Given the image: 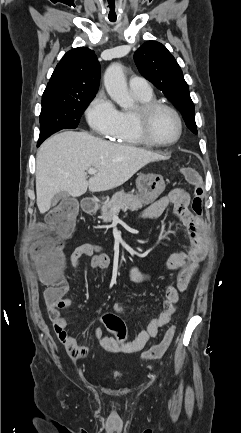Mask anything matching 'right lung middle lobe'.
<instances>
[{
    "mask_svg": "<svg viewBox=\"0 0 241 433\" xmlns=\"http://www.w3.org/2000/svg\"><path fill=\"white\" fill-rule=\"evenodd\" d=\"M92 99H49L42 101L38 146L50 135L61 129L76 128L82 113Z\"/></svg>",
    "mask_w": 241,
    "mask_h": 433,
    "instance_id": "1",
    "label": "right lung middle lobe"
}]
</instances>
